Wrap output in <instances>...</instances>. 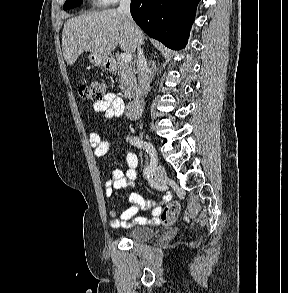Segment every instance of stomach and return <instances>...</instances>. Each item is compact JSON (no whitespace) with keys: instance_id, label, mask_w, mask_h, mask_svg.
Masks as SVG:
<instances>
[{"instance_id":"0dacf381","label":"stomach","mask_w":288,"mask_h":293,"mask_svg":"<svg viewBox=\"0 0 288 293\" xmlns=\"http://www.w3.org/2000/svg\"><path fill=\"white\" fill-rule=\"evenodd\" d=\"M89 61L98 67H101L105 70L112 69V58L109 55H103L99 53H90Z\"/></svg>"}]
</instances>
